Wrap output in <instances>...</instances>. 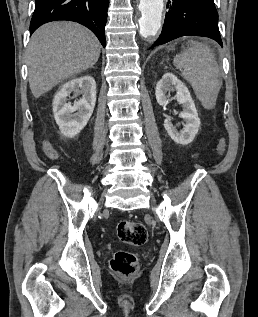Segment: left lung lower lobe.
Returning <instances> with one entry per match:
<instances>
[{"instance_id":"1","label":"left lung lower lobe","mask_w":258,"mask_h":317,"mask_svg":"<svg viewBox=\"0 0 258 317\" xmlns=\"http://www.w3.org/2000/svg\"><path fill=\"white\" fill-rule=\"evenodd\" d=\"M163 30L152 47L182 36L209 37L222 46L214 0H169Z\"/></svg>"}]
</instances>
